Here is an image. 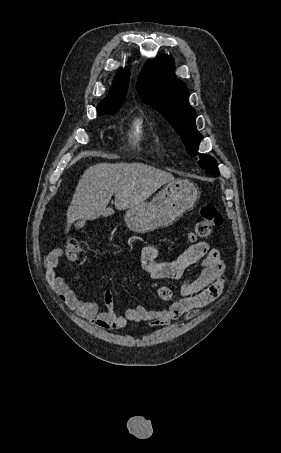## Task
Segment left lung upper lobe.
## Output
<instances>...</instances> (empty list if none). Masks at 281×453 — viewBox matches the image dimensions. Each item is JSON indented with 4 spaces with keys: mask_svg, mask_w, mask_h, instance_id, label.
I'll list each match as a JSON object with an SVG mask.
<instances>
[{
    "mask_svg": "<svg viewBox=\"0 0 281 453\" xmlns=\"http://www.w3.org/2000/svg\"><path fill=\"white\" fill-rule=\"evenodd\" d=\"M140 98L151 105L180 134L187 152L191 156L199 155V166L207 173L219 175L216 160L198 153L201 136L196 129V112L188 103V89L176 78L173 59L162 55L153 62H147L136 84Z\"/></svg>",
    "mask_w": 281,
    "mask_h": 453,
    "instance_id": "1",
    "label": "left lung upper lobe"
}]
</instances>
